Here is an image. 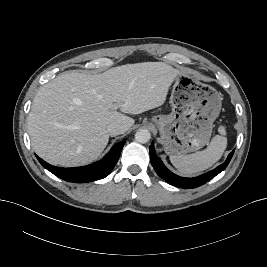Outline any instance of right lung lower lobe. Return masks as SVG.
I'll list each match as a JSON object with an SVG mask.
<instances>
[{
    "instance_id": "98d812e1",
    "label": "right lung lower lobe",
    "mask_w": 267,
    "mask_h": 267,
    "mask_svg": "<svg viewBox=\"0 0 267 267\" xmlns=\"http://www.w3.org/2000/svg\"><path fill=\"white\" fill-rule=\"evenodd\" d=\"M124 144L123 141L116 144L102 160L83 167L60 168L46 163L37 155L36 157L44 168L57 177L73 183H86L105 178L113 170Z\"/></svg>"
}]
</instances>
